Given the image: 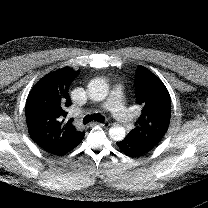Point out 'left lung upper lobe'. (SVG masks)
I'll list each match as a JSON object with an SVG mask.
<instances>
[{
	"mask_svg": "<svg viewBox=\"0 0 208 208\" xmlns=\"http://www.w3.org/2000/svg\"><path fill=\"white\" fill-rule=\"evenodd\" d=\"M135 90L141 115L127 137L155 147L163 139L170 123L169 92L163 82L143 66L136 70Z\"/></svg>",
	"mask_w": 208,
	"mask_h": 208,
	"instance_id": "1",
	"label": "left lung upper lobe"
}]
</instances>
